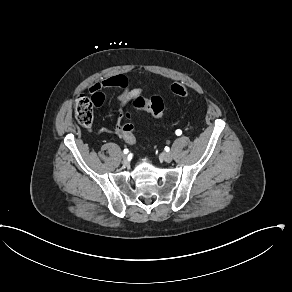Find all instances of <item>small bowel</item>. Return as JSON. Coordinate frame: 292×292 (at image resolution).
<instances>
[{
  "mask_svg": "<svg viewBox=\"0 0 292 292\" xmlns=\"http://www.w3.org/2000/svg\"><path fill=\"white\" fill-rule=\"evenodd\" d=\"M116 87L119 88L121 91L117 96V102L121 107H124L132 98L138 96L142 90L139 88L131 89L129 87V83L126 77L122 75H116L112 77H108L105 79H102L96 83H94L91 87V91H98L105 88H112ZM117 114L113 120V125L115 128L109 127L106 124H102L100 126V129L103 132L113 134L116 136H120L122 134L121 128H123V117L125 114V111L123 109L116 108ZM102 131L98 132V135L102 134ZM91 134H94V131H91Z\"/></svg>",
  "mask_w": 292,
  "mask_h": 292,
  "instance_id": "small-bowel-1",
  "label": "small bowel"
}]
</instances>
